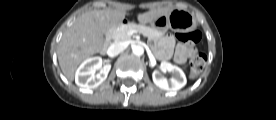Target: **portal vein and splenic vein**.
Returning a JSON list of instances; mask_svg holds the SVG:
<instances>
[{
	"mask_svg": "<svg viewBox=\"0 0 276 120\" xmlns=\"http://www.w3.org/2000/svg\"><path fill=\"white\" fill-rule=\"evenodd\" d=\"M135 32H136V31H131L130 34H133V33H135Z\"/></svg>",
	"mask_w": 276,
	"mask_h": 120,
	"instance_id": "obj_1",
	"label": "portal vein and splenic vein"
}]
</instances>
